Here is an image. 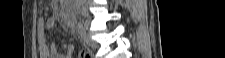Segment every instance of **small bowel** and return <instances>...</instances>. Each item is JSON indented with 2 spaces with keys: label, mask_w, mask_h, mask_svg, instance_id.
I'll list each match as a JSON object with an SVG mask.
<instances>
[{
  "label": "small bowel",
  "mask_w": 225,
  "mask_h": 58,
  "mask_svg": "<svg viewBox=\"0 0 225 58\" xmlns=\"http://www.w3.org/2000/svg\"><path fill=\"white\" fill-rule=\"evenodd\" d=\"M41 23L44 24L43 20H41ZM45 27L52 30L55 27L54 18L47 19L45 22ZM60 49L64 50L66 53L61 54ZM73 52V45L60 41H55L50 46L43 45L41 48L43 58H72Z\"/></svg>",
  "instance_id": "c3829d8e"
}]
</instances>
